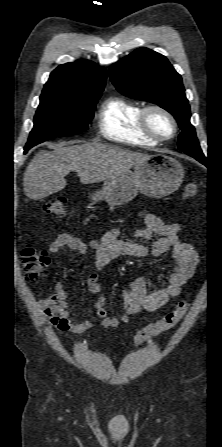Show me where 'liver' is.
Returning <instances> with one entry per match:
<instances>
[{"label": "liver", "instance_id": "liver-1", "mask_svg": "<svg viewBox=\"0 0 222 447\" xmlns=\"http://www.w3.org/2000/svg\"><path fill=\"white\" fill-rule=\"evenodd\" d=\"M149 156L97 142L60 145L32 159L24 173V193L40 200L64 189L71 171L78 173L81 183L91 184L128 171Z\"/></svg>", "mask_w": 222, "mask_h": 447}]
</instances>
